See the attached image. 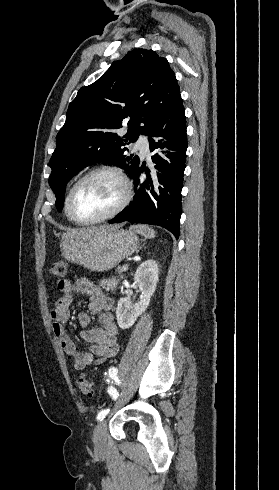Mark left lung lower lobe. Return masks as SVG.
<instances>
[{"instance_id": "1", "label": "left lung lower lobe", "mask_w": 279, "mask_h": 490, "mask_svg": "<svg viewBox=\"0 0 279 490\" xmlns=\"http://www.w3.org/2000/svg\"><path fill=\"white\" fill-rule=\"evenodd\" d=\"M147 135H149L150 151L167 146L171 150L167 155L170 160L164 162L157 154L152 156V161L156 164L155 168L159 171L158 183L155 185L145 165L138 166L131 175L135 185L133 201L109 223L129 221L158 225L172 232L178 239L187 149L185 109L181 97L149 129ZM159 137L167 138L166 145L162 144ZM143 171L147 174V179L140 180L139 176Z\"/></svg>"}]
</instances>
